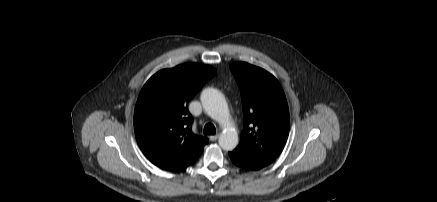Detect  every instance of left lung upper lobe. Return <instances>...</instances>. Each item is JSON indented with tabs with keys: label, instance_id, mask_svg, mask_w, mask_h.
<instances>
[{
	"label": "left lung upper lobe",
	"instance_id": "1",
	"mask_svg": "<svg viewBox=\"0 0 437 202\" xmlns=\"http://www.w3.org/2000/svg\"><path fill=\"white\" fill-rule=\"evenodd\" d=\"M240 87L244 129L232 152L264 167L281 153L289 133V109L278 80L266 70L245 62L230 64Z\"/></svg>",
	"mask_w": 437,
	"mask_h": 202
}]
</instances>
